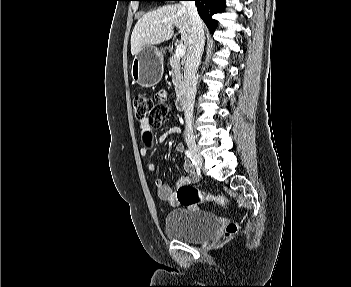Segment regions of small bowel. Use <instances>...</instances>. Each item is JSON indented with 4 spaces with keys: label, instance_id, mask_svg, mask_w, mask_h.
Masks as SVG:
<instances>
[{
    "label": "small bowel",
    "instance_id": "c3829d8e",
    "mask_svg": "<svg viewBox=\"0 0 351 287\" xmlns=\"http://www.w3.org/2000/svg\"><path fill=\"white\" fill-rule=\"evenodd\" d=\"M139 127L141 131L140 133L141 144L143 145L141 147L140 153L142 156H153L154 150H149V148H151L154 142L156 141V136H153V133H155V127H150L147 119H141L139 121ZM179 133H181V128L178 126H174L170 128L167 132L161 134L157 138V141L164 142L170 135L179 134ZM175 150L178 153H182L184 151V145L182 143H177L175 145ZM145 167L150 172H154L156 170V166L152 162H147L145 164ZM183 168L186 174L185 176H182L177 180L176 182L177 187H180L185 184L194 183L197 179L194 167L190 160L188 159L184 160ZM154 184L156 187L158 197L161 200L166 201L173 206L178 204V200L175 192L162 179L156 178L154 181Z\"/></svg>",
    "mask_w": 351,
    "mask_h": 287
}]
</instances>
